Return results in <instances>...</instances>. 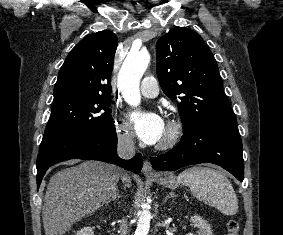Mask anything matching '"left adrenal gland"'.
Masks as SVG:
<instances>
[{"label":"left adrenal gland","mask_w":283,"mask_h":235,"mask_svg":"<svg viewBox=\"0 0 283 235\" xmlns=\"http://www.w3.org/2000/svg\"><path fill=\"white\" fill-rule=\"evenodd\" d=\"M174 197H176L175 193H174V192H170V193L166 196L165 200H167V199H169V198H174Z\"/></svg>","instance_id":"a2214340"}]
</instances>
